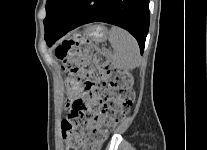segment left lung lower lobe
I'll list each match as a JSON object with an SVG mask.
<instances>
[{
	"label": "left lung lower lobe",
	"mask_w": 207,
	"mask_h": 150,
	"mask_svg": "<svg viewBox=\"0 0 207 150\" xmlns=\"http://www.w3.org/2000/svg\"><path fill=\"white\" fill-rule=\"evenodd\" d=\"M96 21L130 32L142 54L149 29V0H71L55 25L45 32V40L51 46L70 30Z\"/></svg>",
	"instance_id": "1"
}]
</instances>
